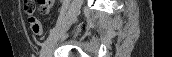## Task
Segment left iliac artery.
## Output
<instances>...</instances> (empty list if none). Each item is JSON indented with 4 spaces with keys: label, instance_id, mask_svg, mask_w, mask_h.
Returning a JSON list of instances; mask_svg holds the SVG:
<instances>
[{
    "label": "left iliac artery",
    "instance_id": "1",
    "mask_svg": "<svg viewBox=\"0 0 172 57\" xmlns=\"http://www.w3.org/2000/svg\"><path fill=\"white\" fill-rule=\"evenodd\" d=\"M63 20V13L60 14L58 20H57V23H56V26L59 25ZM52 30H50V33H51Z\"/></svg>",
    "mask_w": 172,
    "mask_h": 57
}]
</instances>
